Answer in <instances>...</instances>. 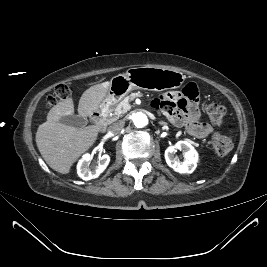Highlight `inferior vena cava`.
<instances>
[{
  "mask_svg": "<svg viewBox=\"0 0 267 267\" xmlns=\"http://www.w3.org/2000/svg\"><path fill=\"white\" fill-rule=\"evenodd\" d=\"M122 128H123V122L117 121V122L112 123L109 126L108 130L114 134H118Z\"/></svg>",
  "mask_w": 267,
  "mask_h": 267,
  "instance_id": "inferior-vena-cava-1",
  "label": "inferior vena cava"
}]
</instances>
